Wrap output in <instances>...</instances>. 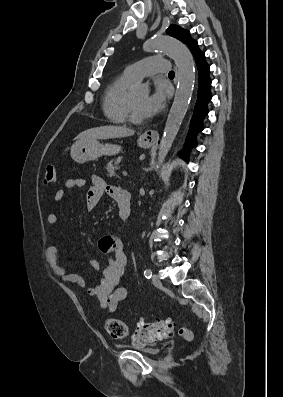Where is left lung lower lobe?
Wrapping results in <instances>:
<instances>
[{"label": "left lung lower lobe", "instance_id": "0a47b994", "mask_svg": "<svg viewBox=\"0 0 283 397\" xmlns=\"http://www.w3.org/2000/svg\"><path fill=\"white\" fill-rule=\"evenodd\" d=\"M191 51L195 57L196 64L199 71V88L198 99L195 105V113L190 122V129L187 137L189 146H196L195 135L198 131L203 130L202 120L208 114L207 104L211 100L212 95L210 92L211 80L209 77V65L205 61V54L198 49L197 44L193 45ZM181 157L188 161L185 154Z\"/></svg>", "mask_w": 283, "mask_h": 397}]
</instances>
